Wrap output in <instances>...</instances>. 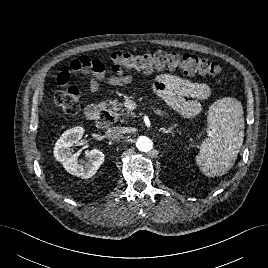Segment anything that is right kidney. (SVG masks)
Returning a JSON list of instances; mask_svg holds the SVG:
<instances>
[{
    "label": "right kidney",
    "instance_id": "right-kidney-1",
    "mask_svg": "<svg viewBox=\"0 0 268 268\" xmlns=\"http://www.w3.org/2000/svg\"><path fill=\"white\" fill-rule=\"evenodd\" d=\"M83 133L82 127H74L65 131L56 142L54 156L68 173L88 179L92 178L103 164L104 154L98 149L86 151V162L78 163L77 155L72 153V147L82 138Z\"/></svg>",
    "mask_w": 268,
    "mask_h": 268
}]
</instances>
